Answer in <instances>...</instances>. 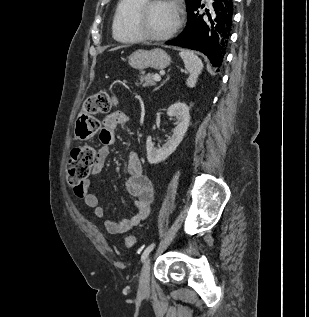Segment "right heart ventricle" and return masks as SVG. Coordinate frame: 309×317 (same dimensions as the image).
Returning a JSON list of instances; mask_svg holds the SVG:
<instances>
[{"mask_svg": "<svg viewBox=\"0 0 309 317\" xmlns=\"http://www.w3.org/2000/svg\"><path fill=\"white\" fill-rule=\"evenodd\" d=\"M144 0H119L112 20V35L121 43H134L141 40L132 25L135 10Z\"/></svg>", "mask_w": 309, "mask_h": 317, "instance_id": "e07e8e85", "label": "right heart ventricle"}]
</instances>
